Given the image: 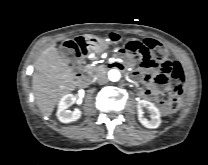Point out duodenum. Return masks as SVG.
<instances>
[{
	"label": "duodenum",
	"instance_id": "1",
	"mask_svg": "<svg viewBox=\"0 0 208 165\" xmlns=\"http://www.w3.org/2000/svg\"><path fill=\"white\" fill-rule=\"evenodd\" d=\"M109 65L105 64L104 68H108ZM79 83L82 86H86L91 83V77L85 72V69H82L81 73L79 74Z\"/></svg>",
	"mask_w": 208,
	"mask_h": 165
}]
</instances>
